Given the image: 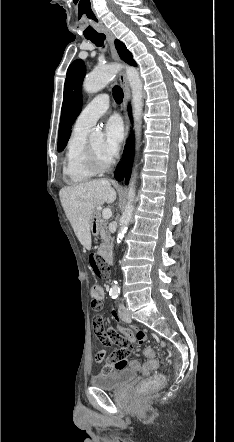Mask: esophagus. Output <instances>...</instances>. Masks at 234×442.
<instances>
[{"instance_id":"1","label":"esophagus","mask_w":234,"mask_h":442,"mask_svg":"<svg viewBox=\"0 0 234 442\" xmlns=\"http://www.w3.org/2000/svg\"><path fill=\"white\" fill-rule=\"evenodd\" d=\"M104 33L107 37V41L110 46V51H111V55H112L113 59L117 62L120 61L117 51L115 49V44H114L115 38H114L113 33L108 29H105ZM119 81H120V85H121L123 92H124L123 111H124V119H125L126 138H127L128 134H129V129H130V120L128 117V109H127V103L130 99V89H129L128 81H127L126 74H125L124 70H121L119 73Z\"/></svg>"}]
</instances>
